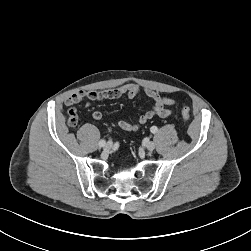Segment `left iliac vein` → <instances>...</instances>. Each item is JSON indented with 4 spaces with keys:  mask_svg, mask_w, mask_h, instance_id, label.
Instances as JSON below:
<instances>
[{
    "mask_svg": "<svg viewBox=\"0 0 251 251\" xmlns=\"http://www.w3.org/2000/svg\"><path fill=\"white\" fill-rule=\"evenodd\" d=\"M155 143L154 142H152V141H149V142H147V144H146V149L147 150H149V151H153L154 149H155Z\"/></svg>",
    "mask_w": 251,
    "mask_h": 251,
    "instance_id": "obj_1",
    "label": "left iliac vein"
}]
</instances>
